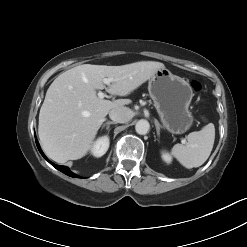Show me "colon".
I'll use <instances>...</instances> for the list:
<instances>
[{
	"label": "colon",
	"instance_id": "obj_1",
	"mask_svg": "<svg viewBox=\"0 0 247 247\" xmlns=\"http://www.w3.org/2000/svg\"><path fill=\"white\" fill-rule=\"evenodd\" d=\"M192 86L195 90H199L201 88V86L198 82H193Z\"/></svg>",
	"mask_w": 247,
	"mask_h": 247
}]
</instances>
